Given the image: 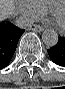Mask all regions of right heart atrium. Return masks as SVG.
<instances>
[{"instance_id": "obj_1", "label": "right heart atrium", "mask_w": 65, "mask_h": 89, "mask_svg": "<svg viewBox=\"0 0 65 89\" xmlns=\"http://www.w3.org/2000/svg\"><path fill=\"white\" fill-rule=\"evenodd\" d=\"M17 10L20 14H22L24 17H26L29 20H32L40 15L42 13L29 1H20L17 3Z\"/></svg>"}]
</instances>
